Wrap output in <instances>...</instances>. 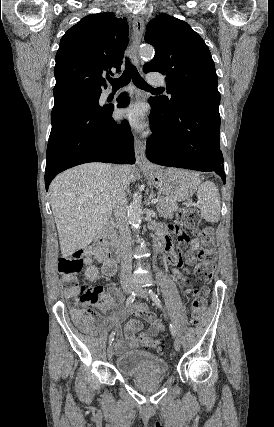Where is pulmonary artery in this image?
Segmentation results:
<instances>
[{"mask_svg": "<svg viewBox=\"0 0 274 427\" xmlns=\"http://www.w3.org/2000/svg\"><path fill=\"white\" fill-rule=\"evenodd\" d=\"M148 82H149V84H151V85H159V84H162L163 83V78L162 77H159V76H151V77H149V79H148ZM124 92V90H116V91H113V90H111V89H108L107 91H106V96H111V95H113L114 97H118V96H120L122 93Z\"/></svg>", "mask_w": 274, "mask_h": 427, "instance_id": "pulmonary-artery-1", "label": "pulmonary artery"}]
</instances>
